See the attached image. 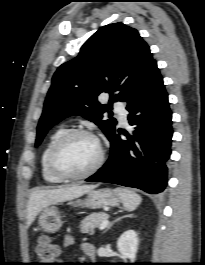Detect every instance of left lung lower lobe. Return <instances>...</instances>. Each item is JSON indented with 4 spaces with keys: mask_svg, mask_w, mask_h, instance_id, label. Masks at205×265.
<instances>
[{
    "mask_svg": "<svg viewBox=\"0 0 205 265\" xmlns=\"http://www.w3.org/2000/svg\"><path fill=\"white\" fill-rule=\"evenodd\" d=\"M128 120L134 125L122 140L115 130L109 138V160L88 182H107L160 194L167 185L166 162L171 154L172 113L157 64L126 100Z\"/></svg>",
    "mask_w": 205,
    "mask_h": 265,
    "instance_id": "1",
    "label": "left lung lower lobe"
}]
</instances>
